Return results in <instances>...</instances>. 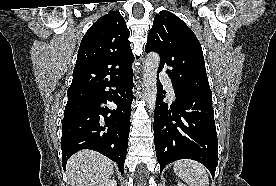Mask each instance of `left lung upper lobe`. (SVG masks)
I'll return each mask as SVG.
<instances>
[{
	"instance_id": "left-lung-upper-lobe-1",
	"label": "left lung upper lobe",
	"mask_w": 276,
	"mask_h": 186,
	"mask_svg": "<svg viewBox=\"0 0 276 186\" xmlns=\"http://www.w3.org/2000/svg\"><path fill=\"white\" fill-rule=\"evenodd\" d=\"M145 51L159 53V71L166 69L174 88L211 95L201 45L176 15L163 10L155 16Z\"/></svg>"
}]
</instances>
